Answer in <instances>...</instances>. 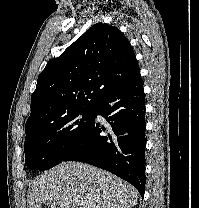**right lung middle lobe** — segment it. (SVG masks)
Masks as SVG:
<instances>
[{
    "label": "right lung middle lobe",
    "instance_id": "right-lung-middle-lobe-1",
    "mask_svg": "<svg viewBox=\"0 0 199 208\" xmlns=\"http://www.w3.org/2000/svg\"><path fill=\"white\" fill-rule=\"evenodd\" d=\"M93 119V107H84L30 131L24 142L27 167L43 171L62 162L84 137Z\"/></svg>",
    "mask_w": 199,
    "mask_h": 208
}]
</instances>
